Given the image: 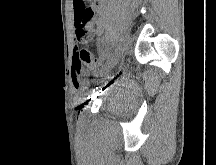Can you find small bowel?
I'll return each instance as SVG.
<instances>
[{
    "mask_svg": "<svg viewBox=\"0 0 216 165\" xmlns=\"http://www.w3.org/2000/svg\"><path fill=\"white\" fill-rule=\"evenodd\" d=\"M105 12L104 0H93L91 5H86L85 0H73V13L75 22V35L81 27L90 31L92 34H101L104 31L103 15ZM83 13H92L88 20L83 19ZM96 14V16H93ZM79 41V40H78ZM74 87L78 89L80 85V75H75L73 79Z\"/></svg>",
    "mask_w": 216,
    "mask_h": 165,
    "instance_id": "c3829d8e",
    "label": "small bowel"
}]
</instances>
